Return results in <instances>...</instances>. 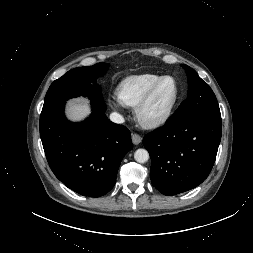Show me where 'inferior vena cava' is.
Segmentation results:
<instances>
[{
  "label": "inferior vena cava",
  "instance_id": "inferior-vena-cava-1",
  "mask_svg": "<svg viewBox=\"0 0 253 253\" xmlns=\"http://www.w3.org/2000/svg\"><path fill=\"white\" fill-rule=\"evenodd\" d=\"M110 120L114 123L121 124L124 123V118L119 113L113 112L110 114Z\"/></svg>",
  "mask_w": 253,
  "mask_h": 253
}]
</instances>
